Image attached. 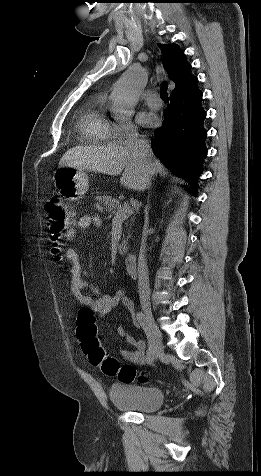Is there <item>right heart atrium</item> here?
<instances>
[{"instance_id":"1","label":"right heart atrium","mask_w":261,"mask_h":476,"mask_svg":"<svg viewBox=\"0 0 261 476\" xmlns=\"http://www.w3.org/2000/svg\"><path fill=\"white\" fill-rule=\"evenodd\" d=\"M138 134L137 127L130 120L115 123L112 126V138L122 140Z\"/></svg>"}]
</instances>
